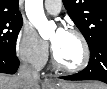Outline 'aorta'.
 Listing matches in <instances>:
<instances>
[{
    "label": "aorta",
    "instance_id": "1",
    "mask_svg": "<svg viewBox=\"0 0 107 89\" xmlns=\"http://www.w3.org/2000/svg\"><path fill=\"white\" fill-rule=\"evenodd\" d=\"M25 11L29 21L38 30L40 36L44 39L49 38L56 25L47 20L43 10V0H25Z\"/></svg>",
    "mask_w": 107,
    "mask_h": 89
}]
</instances>
